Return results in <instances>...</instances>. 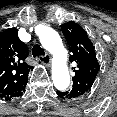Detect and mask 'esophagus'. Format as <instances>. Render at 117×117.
I'll return each mask as SVG.
<instances>
[{"mask_svg": "<svg viewBox=\"0 0 117 117\" xmlns=\"http://www.w3.org/2000/svg\"><path fill=\"white\" fill-rule=\"evenodd\" d=\"M39 60L46 66H50L51 65V57L50 55L46 54L44 56H41L39 58Z\"/></svg>", "mask_w": 117, "mask_h": 117, "instance_id": "34e87169", "label": "esophagus"}]
</instances>
